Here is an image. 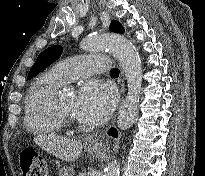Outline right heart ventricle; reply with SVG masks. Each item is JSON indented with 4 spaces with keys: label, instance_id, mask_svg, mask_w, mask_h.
Here are the masks:
<instances>
[{
    "label": "right heart ventricle",
    "instance_id": "1",
    "mask_svg": "<svg viewBox=\"0 0 205 176\" xmlns=\"http://www.w3.org/2000/svg\"><path fill=\"white\" fill-rule=\"evenodd\" d=\"M54 73L37 77L25 96V125L34 134H58L62 122L56 116L54 103L56 91L65 85Z\"/></svg>",
    "mask_w": 205,
    "mask_h": 176
}]
</instances>
